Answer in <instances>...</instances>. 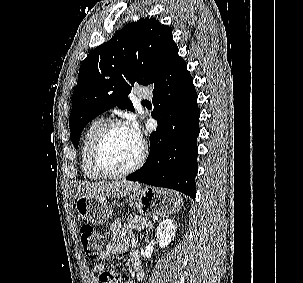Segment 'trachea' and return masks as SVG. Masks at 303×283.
<instances>
[{
    "instance_id": "trachea-1",
    "label": "trachea",
    "mask_w": 303,
    "mask_h": 283,
    "mask_svg": "<svg viewBox=\"0 0 303 283\" xmlns=\"http://www.w3.org/2000/svg\"><path fill=\"white\" fill-rule=\"evenodd\" d=\"M142 102H143V103H147L148 101H147V100H143Z\"/></svg>"
}]
</instances>
